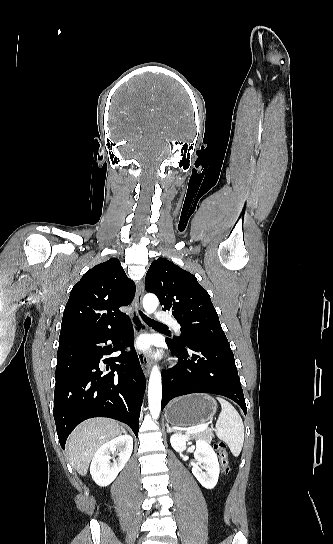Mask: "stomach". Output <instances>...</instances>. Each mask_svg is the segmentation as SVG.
I'll use <instances>...</instances> for the list:
<instances>
[{
  "label": "stomach",
  "instance_id": "0dacf381",
  "mask_svg": "<svg viewBox=\"0 0 333 544\" xmlns=\"http://www.w3.org/2000/svg\"><path fill=\"white\" fill-rule=\"evenodd\" d=\"M217 410L216 400L208 394L180 397L167 407L166 419L176 426H195L211 420Z\"/></svg>",
  "mask_w": 333,
  "mask_h": 544
}]
</instances>
